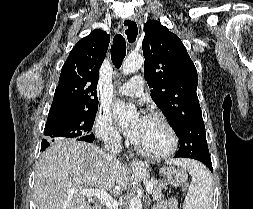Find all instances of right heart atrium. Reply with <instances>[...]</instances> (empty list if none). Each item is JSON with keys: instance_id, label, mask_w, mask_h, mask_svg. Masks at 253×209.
I'll return each instance as SVG.
<instances>
[{"instance_id": "right-heart-atrium-1", "label": "right heart atrium", "mask_w": 253, "mask_h": 209, "mask_svg": "<svg viewBox=\"0 0 253 209\" xmlns=\"http://www.w3.org/2000/svg\"><path fill=\"white\" fill-rule=\"evenodd\" d=\"M94 130L96 136L107 144H117L121 140L118 129L109 115L103 111H100L95 118Z\"/></svg>"}]
</instances>
